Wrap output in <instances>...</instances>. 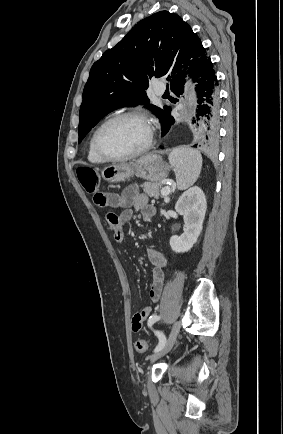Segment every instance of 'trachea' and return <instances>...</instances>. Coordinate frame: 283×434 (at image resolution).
<instances>
[{
	"label": "trachea",
	"mask_w": 283,
	"mask_h": 434,
	"mask_svg": "<svg viewBox=\"0 0 283 434\" xmlns=\"http://www.w3.org/2000/svg\"><path fill=\"white\" fill-rule=\"evenodd\" d=\"M167 94H169V92H165V93H164V95H167Z\"/></svg>",
	"instance_id": "obj_1"
}]
</instances>
